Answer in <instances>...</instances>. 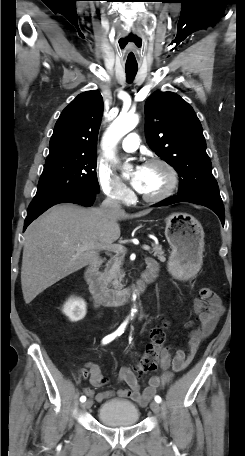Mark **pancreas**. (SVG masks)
Instances as JSON below:
<instances>
[{"label":"pancreas","mask_w":245,"mask_h":456,"mask_svg":"<svg viewBox=\"0 0 245 456\" xmlns=\"http://www.w3.org/2000/svg\"><path fill=\"white\" fill-rule=\"evenodd\" d=\"M152 247L150 253H152L154 257H157L161 262H165L166 258L162 246L152 243ZM121 253L123 252L119 251L116 255L111 257L103 273L107 283L112 284L115 289L120 287L122 278L124 277V274L121 271L123 263V256H120Z\"/></svg>","instance_id":"cf45deb5"}]
</instances>
